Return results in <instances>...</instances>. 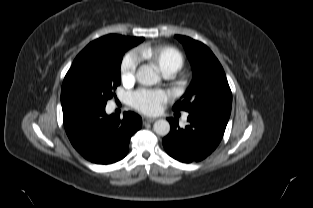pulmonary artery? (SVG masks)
I'll return each mask as SVG.
<instances>
[{"mask_svg": "<svg viewBox=\"0 0 313 208\" xmlns=\"http://www.w3.org/2000/svg\"><path fill=\"white\" fill-rule=\"evenodd\" d=\"M172 75H173V73H166V74H164V76H165L166 78H169V77H171ZM187 116H188V115L185 114L183 118H184V119H187Z\"/></svg>", "mask_w": 313, "mask_h": 208, "instance_id": "1", "label": "pulmonary artery"}]
</instances>
